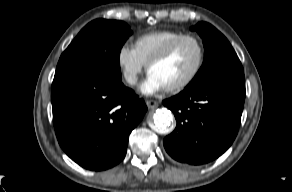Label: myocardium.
Instances as JSON below:
<instances>
[{"instance_id":"myocardium-1","label":"myocardium","mask_w":292,"mask_h":192,"mask_svg":"<svg viewBox=\"0 0 292 192\" xmlns=\"http://www.w3.org/2000/svg\"><path fill=\"white\" fill-rule=\"evenodd\" d=\"M185 41H192L196 44V46L199 50L198 63L196 65L195 69L192 71V73L187 78H185L183 81H181L177 84L166 87L165 90L168 92H179V91L186 89L200 75V73L205 65V61H206V50H205V46H204L202 40L195 35L184 34V35L178 37L177 39H175L174 41H172L163 51H161L160 53L155 55L153 58H151L148 61V63L146 64L147 71L149 72L150 69L154 65L168 59L176 51V49Z\"/></svg>"}]
</instances>
